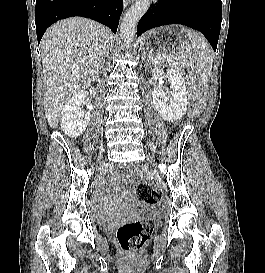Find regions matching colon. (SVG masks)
Returning <instances> with one entry per match:
<instances>
[{"instance_id": "5ec220e1", "label": "colon", "mask_w": 265, "mask_h": 273, "mask_svg": "<svg viewBox=\"0 0 265 273\" xmlns=\"http://www.w3.org/2000/svg\"><path fill=\"white\" fill-rule=\"evenodd\" d=\"M130 179H137L135 169L128 170ZM134 194L138 201L146 205H155L161 199V193L147 182L137 181L134 184ZM153 223L150 219H140L125 223L116 230V240L124 250H139L153 233Z\"/></svg>"}]
</instances>
